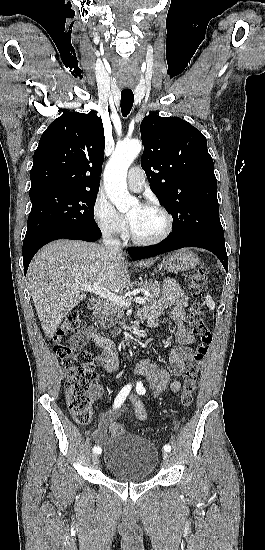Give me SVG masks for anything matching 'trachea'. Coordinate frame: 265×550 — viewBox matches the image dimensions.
<instances>
[{
  "label": "trachea",
  "mask_w": 265,
  "mask_h": 550,
  "mask_svg": "<svg viewBox=\"0 0 265 550\" xmlns=\"http://www.w3.org/2000/svg\"><path fill=\"white\" fill-rule=\"evenodd\" d=\"M134 94L131 91H122L121 92V112L124 117H126L133 106Z\"/></svg>",
  "instance_id": "trachea-1"
}]
</instances>
